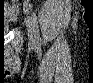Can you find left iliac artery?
I'll use <instances>...</instances> for the list:
<instances>
[{
  "instance_id": "obj_1",
  "label": "left iliac artery",
  "mask_w": 93,
  "mask_h": 83,
  "mask_svg": "<svg viewBox=\"0 0 93 83\" xmlns=\"http://www.w3.org/2000/svg\"><path fill=\"white\" fill-rule=\"evenodd\" d=\"M31 20H32L33 27H34L35 41L37 44H40L41 38H40V34H39V29H38L37 16L34 12L31 15Z\"/></svg>"
}]
</instances>
